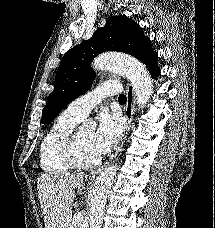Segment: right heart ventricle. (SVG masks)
Segmentation results:
<instances>
[{
  "label": "right heart ventricle",
  "instance_id": "1",
  "mask_svg": "<svg viewBox=\"0 0 215 228\" xmlns=\"http://www.w3.org/2000/svg\"><path fill=\"white\" fill-rule=\"evenodd\" d=\"M80 121L66 109L50 125L41 140L39 150L40 165L45 173L62 174L73 169L62 155L60 147L63 139Z\"/></svg>",
  "mask_w": 215,
  "mask_h": 228
}]
</instances>
